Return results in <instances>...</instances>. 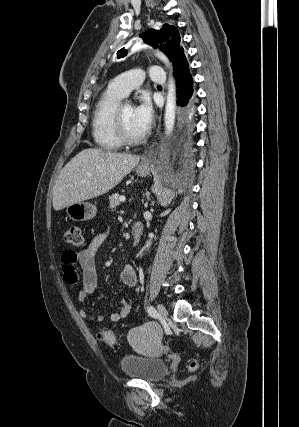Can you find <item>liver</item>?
Segmentation results:
<instances>
[{"label": "liver", "mask_w": 299, "mask_h": 427, "mask_svg": "<svg viewBox=\"0 0 299 427\" xmlns=\"http://www.w3.org/2000/svg\"><path fill=\"white\" fill-rule=\"evenodd\" d=\"M140 157L88 148L61 170L53 190V208L101 196L113 189L139 163Z\"/></svg>", "instance_id": "1"}]
</instances>
